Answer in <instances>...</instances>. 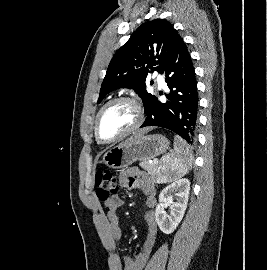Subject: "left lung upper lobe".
I'll return each mask as SVG.
<instances>
[{"instance_id": "obj_1", "label": "left lung upper lobe", "mask_w": 267, "mask_h": 270, "mask_svg": "<svg viewBox=\"0 0 267 270\" xmlns=\"http://www.w3.org/2000/svg\"><path fill=\"white\" fill-rule=\"evenodd\" d=\"M182 40L173 26L164 19H155L139 26L130 39L113 56L103 80L98 103L118 88H133L143 100L145 113L155 96L146 91L149 69L163 73L177 45Z\"/></svg>"}]
</instances>
